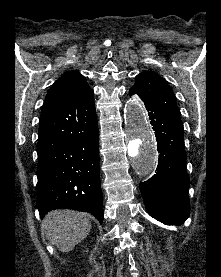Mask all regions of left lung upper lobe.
Instances as JSON below:
<instances>
[{
  "label": "left lung upper lobe",
  "mask_w": 221,
  "mask_h": 277,
  "mask_svg": "<svg viewBox=\"0 0 221 277\" xmlns=\"http://www.w3.org/2000/svg\"><path fill=\"white\" fill-rule=\"evenodd\" d=\"M132 88L153 100L171 118L182 124L175 95L167 82L157 73L144 71L138 74Z\"/></svg>",
  "instance_id": "1"
}]
</instances>
